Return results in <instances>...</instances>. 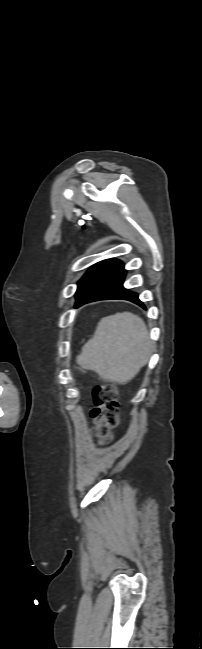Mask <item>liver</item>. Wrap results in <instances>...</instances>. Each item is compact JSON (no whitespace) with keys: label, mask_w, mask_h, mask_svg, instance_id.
Wrapping results in <instances>:
<instances>
[{"label":"liver","mask_w":202,"mask_h":649,"mask_svg":"<svg viewBox=\"0 0 202 649\" xmlns=\"http://www.w3.org/2000/svg\"><path fill=\"white\" fill-rule=\"evenodd\" d=\"M152 348L144 321L130 312L117 313L101 319L76 361L102 379L123 385L147 363Z\"/></svg>","instance_id":"6515ba94"}]
</instances>
